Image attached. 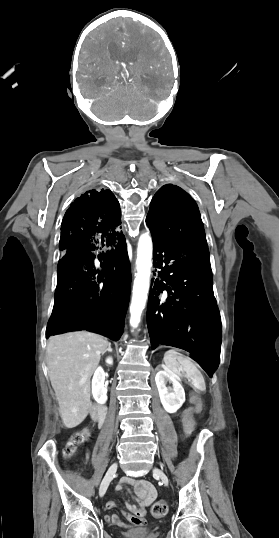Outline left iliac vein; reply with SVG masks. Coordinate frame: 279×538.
I'll use <instances>...</instances> for the list:
<instances>
[{"instance_id":"left-iliac-vein-1","label":"left iliac vein","mask_w":279,"mask_h":538,"mask_svg":"<svg viewBox=\"0 0 279 538\" xmlns=\"http://www.w3.org/2000/svg\"><path fill=\"white\" fill-rule=\"evenodd\" d=\"M153 472H154L155 475H157V476H159L161 478L162 482L165 485H168V482H169L168 478H167V476L165 475V473L162 470H160L158 468H154Z\"/></svg>"}]
</instances>
